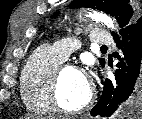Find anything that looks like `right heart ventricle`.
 <instances>
[{"mask_svg":"<svg viewBox=\"0 0 142 119\" xmlns=\"http://www.w3.org/2000/svg\"><path fill=\"white\" fill-rule=\"evenodd\" d=\"M62 62L51 46H41L31 54L21 73V97L29 110L42 114L53 112L49 87Z\"/></svg>","mask_w":142,"mask_h":119,"instance_id":"e07e8e85","label":"right heart ventricle"}]
</instances>
